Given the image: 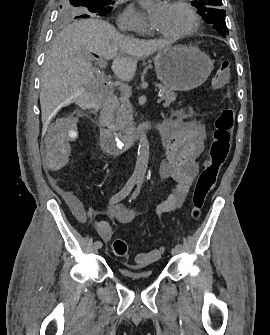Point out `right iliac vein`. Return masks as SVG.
<instances>
[{
    "mask_svg": "<svg viewBox=\"0 0 270 335\" xmlns=\"http://www.w3.org/2000/svg\"><path fill=\"white\" fill-rule=\"evenodd\" d=\"M99 249H100V248L97 247L96 245H93V246H92V251H93L94 253H97Z\"/></svg>",
    "mask_w": 270,
    "mask_h": 335,
    "instance_id": "obj_1",
    "label": "right iliac vein"
}]
</instances>
